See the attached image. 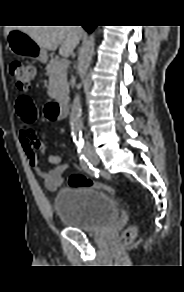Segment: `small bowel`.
Segmentation results:
<instances>
[{"instance_id":"c3829d8e","label":"small bowel","mask_w":184,"mask_h":292,"mask_svg":"<svg viewBox=\"0 0 184 292\" xmlns=\"http://www.w3.org/2000/svg\"><path fill=\"white\" fill-rule=\"evenodd\" d=\"M19 142L30 167L37 176L44 182L49 190L58 189L64 182V174L68 170V165L60 155L51 154L48 156V162L53 165L50 169H44L40 166L39 157L45 152V144L40 141L32 126L21 124L19 131Z\"/></svg>"}]
</instances>
